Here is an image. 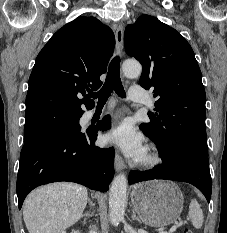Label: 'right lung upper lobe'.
I'll use <instances>...</instances> for the list:
<instances>
[{"instance_id": "1", "label": "right lung upper lobe", "mask_w": 227, "mask_h": 233, "mask_svg": "<svg viewBox=\"0 0 227 233\" xmlns=\"http://www.w3.org/2000/svg\"><path fill=\"white\" fill-rule=\"evenodd\" d=\"M112 30L95 17H78L58 30L38 54L29 78L24 136L79 119L93 104L113 54Z\"/></svg>"}]
</instances>
